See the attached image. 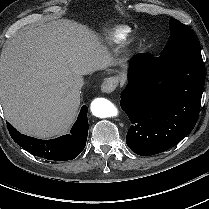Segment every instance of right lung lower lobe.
<instances>
[{
	"label": "right lung lower lobe",
	"instance_id": "1",
	"mask_svg": "<svg viewBox=\"0 0 209 209\" xmlns=\"http://www.w3.org/2000/svg\"><path fill=\"white\" fill-rule=\"evenodd\" d=\"M87 107L81 108L71 133L51 140H41L19 133L7 123L13 140L29 153L47 160L66 161L76 158L86 146L88 133Z\"/></svg>",
	"mask_w": 209,
	"mask_h": 209
}]
</instances>
